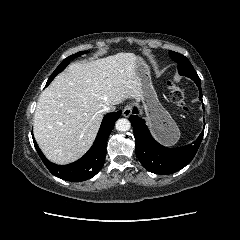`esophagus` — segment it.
Segmentation results:
<instances>
[{"label": "esophagus", "mask_w": 240, "mask_h": 240, "mask_svg": "<svg viewBox=\"0 0 240 240\" xmlns=\"http://www.w3.org/2000/svg\"><path fill=\"white\" fill-rule=\"evenodd\" d=\"M124 117H129L132 114V106L126 105L122 111Z\"/></svg>", "instance_id": "obj_1"}]
</instances>
